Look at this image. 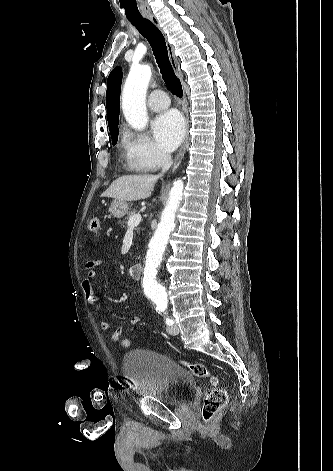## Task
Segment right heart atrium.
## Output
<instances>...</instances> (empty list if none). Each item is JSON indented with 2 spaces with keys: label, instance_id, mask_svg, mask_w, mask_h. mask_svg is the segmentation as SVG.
<instances>
[{
  "label": "right heart atrium",
  "instance_id": "1",
  "mask_svg": "<svg viewBox=\"0 0 333 471\" xmlns=\"http://www.w3.org/2000/svg\"><path fill=\"white\" fill-rule=\"evenodd\" d=\"M122 144L129 164L136 170L156 171L169 160L168 154L144 132L124 129Z\"/></svg>",
  "mask_w": 333,
  "mask_h": 471
}]
</instances>
